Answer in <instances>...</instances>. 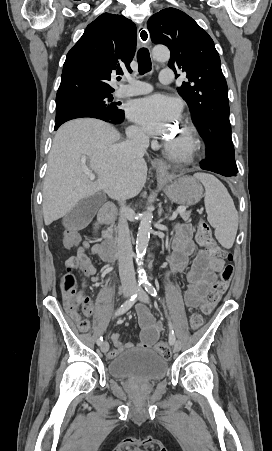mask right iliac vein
Masks as SVG:
<instances>
[{"instance_id": "1", "label": "right iliac vein", "mask_w": 272, "mask_h": 451, "mask_svg": "<svg viewBox=\"0 0 272 451\" xmlns=\"http://www.w3.org/2000/svg\"><path fill=\"white\" fill-rule=\"evenodd\" d=\"M132 294H133V289H132V288H128V287H127V288H124V290H123V297H124V298L130 297ZM100 348H101V351H102L103 353H107L108 350H109V344H108V342H106V341L102 342Z\"/></svg>"}]
</instances>
